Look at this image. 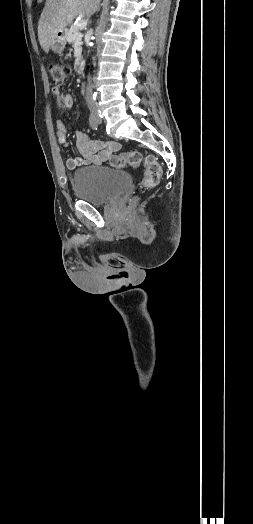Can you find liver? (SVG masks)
<instances>
[{
  "instance_id": "6515ba94",
  "label": "liver",
  "mask_w": 253,
  "mask_h": 524,
  "mask_svg": "<svg viewBox=\"0 0 253 524\" xmlns=\"http://www.w3.org/2000/svg\"><path fill=\"white\" fill-rule=\"evenodd\" d=\"M100 0H46L38 22V38L42 49L48 53L51 43L78 15L91 17Z\"/></svg>"
}]
</instances>
